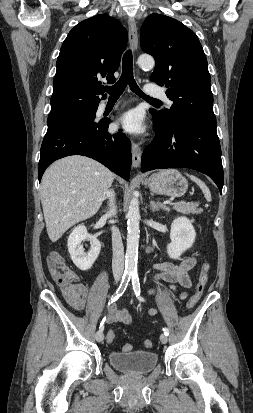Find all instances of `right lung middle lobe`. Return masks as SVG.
<instances>
[{
	"label": "right lung middle lobe",
	"mask_w": 253,
	"mask_h": 413,
	"mask_svg": "<svg viewBox=\"0 0 253 413\" xmlns=\"http://www.w3.org/2000/svg\"><path fill=\"white\" fill-rule=\"evenodd\" d=\"M95 108L73 111L61 115L50 116L47 119L48 130H54L62 127L73 125H90L96 123L94 121L96 116Z\"/></svg>",
	"instance_id": "obj_1"
}]
</instances>
